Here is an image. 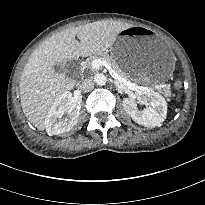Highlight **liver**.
Instances as JSON below:
<instances>
[{"mask_svg": "<svg viewBox=\"0 0 205 205\" xmlns=\"http://www.w3.org/2000/svg\"><path fill=\"white\" fill-rule=\"evenodd\" d=\"M130 26L117 21H96L54 34L35 49L19 82L21 106L27 119L37 129L44 130L53 103L75 86L53 69L55 65L108 50L117 35Z\"/></svg>", "mask_w": 205, "mask_h": 205, "instance_id": "liver-1", "label": "liver"}]
</instances>
